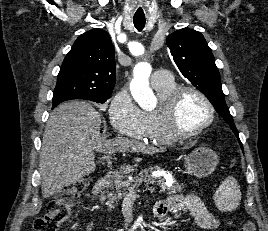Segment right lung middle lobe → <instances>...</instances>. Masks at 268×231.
I'll list each match as a JSON object with an SVG mask.
<instances>
[{
    "label": "right lung middle lobe",
    "instance_id": "1",
    "mask_svg": "<svg viewBox=\"0 0 268 231\" xmlns=\"http://www.w3.org/2000/svg\"><path fill=\"white\" fill-rule=\"evenodd\" d=\"M65 93L63 91H55L54 90V94H53V108L55 106H57L58 104H55L54 105V101H57L59 99L62 98V96L64 95ZM109 97H100V98H93V99H89V100H92V101H95V102H98V103H104L107 101Z\"/></svg>",
    "mask_w": 268,
    "mask_h": 231
}]
</instances>
